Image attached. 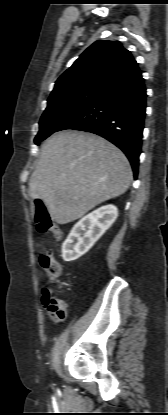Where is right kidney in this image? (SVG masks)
I'll list each match as a JSON object with an SVG mask.
<instances>
[{
    "instance_id": "obj_1",
    "label": "right kidney",
    "mask_w": 168,
    "mask_h": 415,
    "mask_svg": "<svg viewBox=\"0 0 168 415\" xmlns=\"http://www.w3.org/2000/svg\"><path fill=\"white\" fill-rule=\"evenodd\" d=\"M117 216L116 206L105 205L81 218L62 245L63 260L74 261L88 252L115 222Z\"/></svg>"
}]
</instances>
